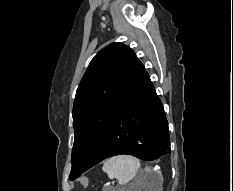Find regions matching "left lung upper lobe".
I'll list each match as a JSON object with an SVG mask.
<instances>
[{
	"mask_svg": "<svg viewBox=\"0 0 233 191\" xmlns=\"http://www.w3.org/2000/svg\"><path fill=\"white\" fill-rule=\"evenodd\" d=\"M144 71L135 53L121 43L105 47L92 59L73 106L75 139L70 178L80 174Z\"/></svg>",
	"mask_w": 233,
	"mask_h": 191,
	"instance_id": "1",
	"label": "left lung upper lobe"
}]
</instances>
